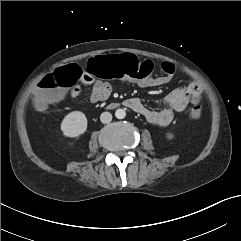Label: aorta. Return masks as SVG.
I'll return each mask as SVG.
<instances>
[{
	"mask_svg": "<svg viewBox=\"0 0 241 241\" xmlns=\"http://www.w3.org/2000/svg\"><path fill=\"white\" fill-rule=\"evenodd\" d=\"M115 116H116L117 119H123L126 116V112H125L124 109H117L115 111Z\"/></svg>",
	"mask_w": 241,
	"mask_h": 241,
	"instance_id": "1",
	"label": "aorta"
}]
</instances>
